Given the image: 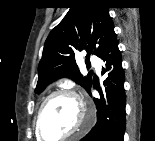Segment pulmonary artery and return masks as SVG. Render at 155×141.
Listing matches in <instances>:
<instances>
[{
    "mask_svg": "<svg viewBox=\"0 0 155 141\" xmlns=\"http://www.w3.org/2000/svg\"><path fill=\"white\" fill-rule=\"evenodd\" d=\"M91 63L96 67L97 71L99 72L100 71V64H101V61L98 57H91Z\"/></svg>",
    "mask_w": 155,
    "mask_h": 141,
    "instance_id": "pulmonary-artery-1",
    "label": "pulmonary artery"
}]
</instances>
